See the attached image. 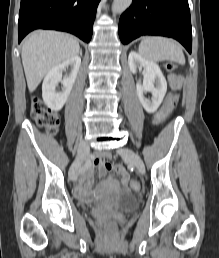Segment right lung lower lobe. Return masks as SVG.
Here are the masks:
<instances>
[{"label": "right lung lower lobe", "mask_w": 219, "mask_h": 258, "mask_svg": "<svg viewBox=\"0 0 219 258\" xmlns=\"http://www.w3.org/2000/svg\"><path fill=\"white\" fill-rule=\"evenodd\" d=\"M100 0H21L18 42L34 29L72 33L89 43Z\"/></svg>", "instance_id": "right-lung-lower-lobe-1"}]
</instances>
